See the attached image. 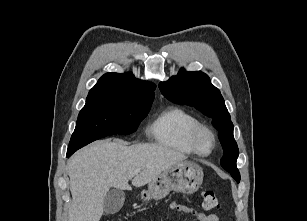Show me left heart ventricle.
Masks as SVG:
<instances>
[{
    "label": "left heart ventricle",
    "mask_w": 307,
    "mask_h": 221,
    "mask_svg": "<svg viewBox=\"0 0 307 221\" xmlns=\"http://www.w3.org/2000/svg\"><path fill=\"white\" fill-rule=\"evenodd\" d=\"M200 148L203 151H208L211 148V140L208 135H202L199 141Z\"/></svg>",
    "instance_id": "obj_1"
}]
</instances>
